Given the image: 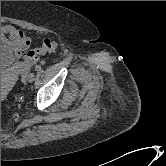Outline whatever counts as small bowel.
I'll return each mask as SVG.
<instances>
[{
  "instance_id": "c3829d8e",
  "label": "small bowel",
  "mask_w": 166,
  "mask_h": 166,
  "mask_svg": "<svg viewBox=\"0 0 166 166\" xmlns=\"http://www.w3.org/2000/svg\"><path fill=\"white\" fill-rule=\"evenodd\" d=\"M1 42L8 43L15 56L20 57L30 46V39L12 25L1 26Z\"/></svg>"
}]
</instances>
